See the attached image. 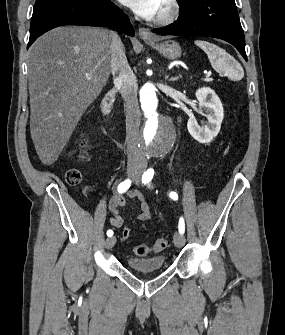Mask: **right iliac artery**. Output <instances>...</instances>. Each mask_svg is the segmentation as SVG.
I'll return each mask as SVG.
<instances>
[{
  "label": "right iliac artery",
  "mask_w": 285,
  "mask_h": 335,
  "mask_svg": "<svg viewBox=\"0 0 285 335\" xmlns=\"http://www.w3.org/2000/svg\"><path fill=\"white\" fill-rule=\"evenodd\" d=\"M130 185H131V180L130 179H127L124 182H121L118 186V192L119 193L126 192L129 189ZM112 235H113V231L108 230L107 231V236L111 237Z\"/></svg>",
  "instance_id": "82829eb1"
}]
</instances>
